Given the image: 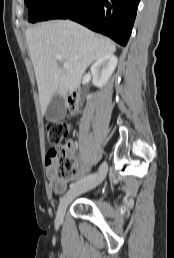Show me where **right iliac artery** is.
<instances>
[{
	"mask_svg": "<svg viewBox=\"0 0 174 258\" xmlns=\"http://www.w3.org/2000/svg\"><path fill=\"white\" fill-rule=\"evenodd\" d=\"M103 164H105V162ZM96 175H97L96 173H92L90 175H87V176L81 178L80 180H78L76 183L71 184L70 187L72 188V187L77 186L79 184H82V183H84L86 181H89V180L95 178Z\"/></svg>",
	"mask_w": 174,
	"mask_h": 258,
	"instance_id": "right-iliac-artery-1",
	"label": "right iliac artery"
}]
</instances>
